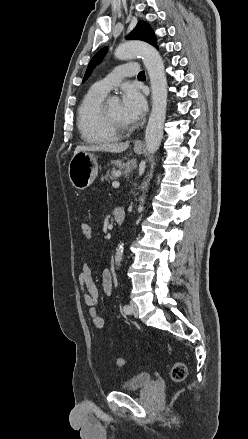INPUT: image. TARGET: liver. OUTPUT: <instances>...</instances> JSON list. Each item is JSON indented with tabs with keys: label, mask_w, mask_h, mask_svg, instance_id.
<instances>
[{
	"label": "liver",
	"mask_w": 248,
	"mask_h": 439,
	"mask_svg": "<svg viewBox=\"0 0 248 439\" xmlns=\"http://www.w3.org/2000/svg\"><path fill=\"white\" fill-rule=\"evenodd\" d=\"M129 147V142H111L100 145H79L76 147L74 154L81 151H104L111 153H121Z\"/></svg>",
	"instance_id": "obj_1"
}]
</instances>
